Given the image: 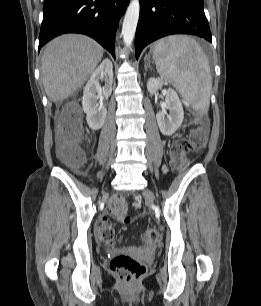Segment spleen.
I'll use <instances>...</instances> for the list:
<instances>
[{
	"mask_svg": "<svg viewBox=\"0 0 261 306\" xmlns=\"http://www.w3.org/2000/svg\"><path fill=\"white\" fill-rule=\"evenodd\" d=\"M151 50L159 75L195 110L208 111L212 76L199 44L186 35H171L156 41Z\"/></svg>",
	"mask_w": 261,
	"mask_h": 306,
	"instance_id": "3e777b00",
	"label": "spleen"
}]
</instances>
